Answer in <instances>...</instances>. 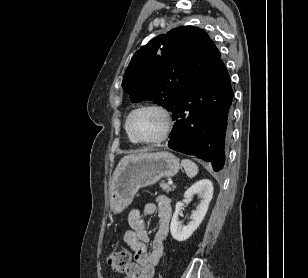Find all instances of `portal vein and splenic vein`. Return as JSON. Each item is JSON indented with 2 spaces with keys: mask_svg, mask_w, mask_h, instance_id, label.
Listing matches in <instances>:
<instances>
[{
  "mask_svg": "<svg viewBox=\"0 0 308 278\" xmlns=\"http://www.w3.org/2000/svg\"><path fill=\"white\" fill-rule=\"evenodd\" d=\"M168 184L169 185H173V181H168Z\"/></svg>",
  "mask_w": 308,
  "mask_h": 278,
  "instance_id": "portal-vein-and-splenic-vein-1",
  "label": "portal vein and splenic vein"
}]
</instances>
